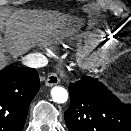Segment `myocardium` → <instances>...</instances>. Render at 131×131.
<instances>
[{"label": "myocardium", "instance_id": "1", "mask_svg": "<svg viewBox=\"0 0 131 131\" xmlns=\"http://www.w3.org/2000/svg\"><path fill=\"white\" fill-rule=\"evenodd\" d=\"M113 41H106L91 49H83L76 55L78 64L84 69H91L101 65L116 49Z\"/></svg>", "mask_w": 131, "mask_h": 131}]
</instances>
